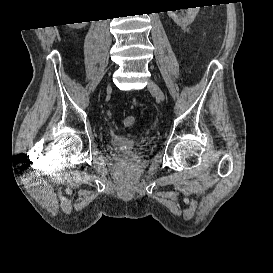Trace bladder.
<instances>
[{"instance_id": "31cf9c89", "label": "bladder", "mask_w": 273, "mask_h": 273, "mask_svg": "<svg viewBox=\"0 0 273 273\" xmlns=\"http://www.w3.org/2000/svg\"><path fill=\"white\" fill-rule=\"evenodd\" d=\"M113 148L120 153H130L137 148V142L125 134H116L112 139Z\"/></svg>"}]
</instances>
